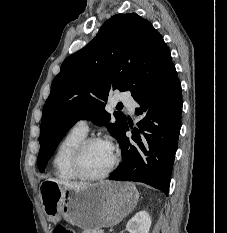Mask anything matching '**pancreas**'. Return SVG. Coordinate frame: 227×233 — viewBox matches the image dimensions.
Instances as JSON below:
<instances>
[{
	"label": "pancreas",
	"mask_w": 227,
	"mask_h": 233,
	"mask_svg": "<svg viewBox=\"0 0 227 233\" xmlns=\"http://www.w3.org/2000/svg\"><path fill=\"white\" fill-rule=\"evenodd\" d=\"M84 233H102V231H100V230H89V229H86Z\"/></svg>",
	"instance_id": "cf45deb5"
}]
</instances>
